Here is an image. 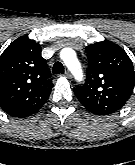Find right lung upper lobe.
<instances>
[{
    "label": "right lung upper lobe",
    "instance_id": "obj_1",
    "mask_svg": "<svg viewBox=\"0 0 135 165\" xmlns=\"http://www.w3.org/2000/svg\"><path fill=\"white\" fill-rule=\"evenodd\" d=\"M52 86L41 47L34 40L21 36L0 56V107L7 114L24 118L36 113Z\"/></svg>",
    "mask_w": 135,
    "mask_h": 165
}]
</instances>
